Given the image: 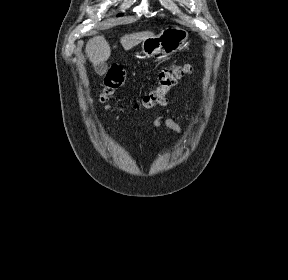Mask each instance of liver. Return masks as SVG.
I'll list each match as a JSON object with an SVG mask.
<instances>
[{
	"label": "liver",
	"mask_w": 288,
	"mask_h": 280,
	"mask_svg": "<svg viewBox=\"0 0 288 280\" xmlns=\"http://www.w3.org/2000/svg\"><path fill=\"white\" fill-rule=\"evenodd\" d=\"M152 36H154V33L150 31L127 34L121 37L120 42L123 48L128 51ZM85 52L93 64L105 62L111 55L110 46L103 36L91 38L86 44Z\"/></svg>",
	"instance_id": "1"
}]
</instances>
